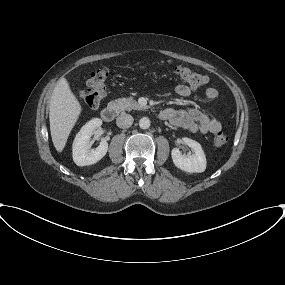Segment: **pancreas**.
I'll use <instances>...</instances> for the list:
<instances>
[{
	"instance_id": "1",
	"label": "pancreas",
	"mask_w": 285,
	"mask_h": 285,
	"mask_svg": "<svg viewBox=\"0 0 285 285\" xmlns=\"http://www.w3.org/2000/svg\"><path fill=\"white\" fill-rule=\"evenodd\" d=\"M111 104L116 108L117 111H131L134 110H143L145 107H142L138 102L132 98H120L115 101H112Z\"/></svg>"
}]
</instances>
